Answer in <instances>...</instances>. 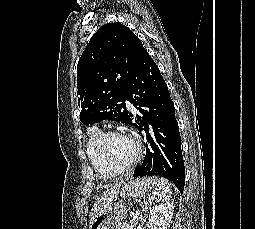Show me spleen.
Here are the masks:
<instances>
[{"mask_svg": "<svg viewBox=\"0 0 255 229\" xmlns=\"http://www.w3.org/2000/svg\"><path fill=\"white\" fill-rule=\"evenodd\" d=\"M156 187L152 192L151 199L157 201H167L171 196V188L168 180L165 178H154Z\"/></svg>", "mask_w": 255, "mask_h": 229, "instance_id": "spleen-1", "label": "spleen"}]
</instances>
